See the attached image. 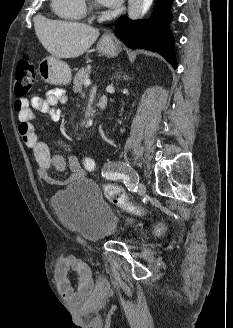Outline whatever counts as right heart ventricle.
<instances>
[{
    "mask_svg": "<svg viewBox=\"0 0 233 328\" xmlns=\"http://www.w3.org/2000/svg\"><path fill=\"white\" fill-rule=\"evenodd\" d=\"M55 13L67 20H80L86 14L85 0H52Z\"/></svg>",
    "mask_w": 233,
    "mask_h": 328,
    "instance_id": "e07e8e85",
    "label": "right heart ventricle"
}]
</instances>
